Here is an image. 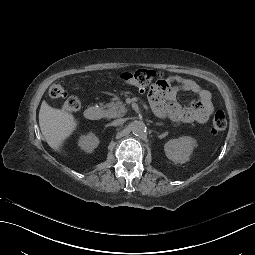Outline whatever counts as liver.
I'll return each instance as SVG.
<instances>
[{"instance_id": "liver-1", "label": "liver", "mask_w": 255, "mask_h": 255, "mask_svg": "<svg viewBox=\"0 0 255 255\" xmlns=\"http://www.w3.org/2000/svg\"><path fill=\"white\" fill-rule=\"evenodd\" d=\"M39 125L48 145L57 151L63 140L72 133L76 123L71 114L52 108L43 101L39 111Z\"/></svg>"}]
</instances>
